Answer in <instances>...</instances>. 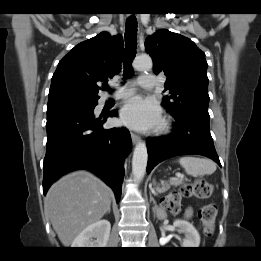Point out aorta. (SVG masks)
<instances>
[{
    "mask_svg": "<svg viewBox=\"0 0 261 261\" xmlns=\"http://www.w3.org/2000/svg\"><path fill=\"white\" fill-rule=\"evenodd\" d=\"M133 67L137 70H149L152 68V60L147 55L138 56L133 61ZM147 160L146 143L139 141L135 146L132 158V174L138 182H140L145 175Z\"/></svg>",
    "mask_w": 261,
    "mask_h": 261,
    "instance_id": "aorta-1",
    "label": "aorta"
}]
</instances>
